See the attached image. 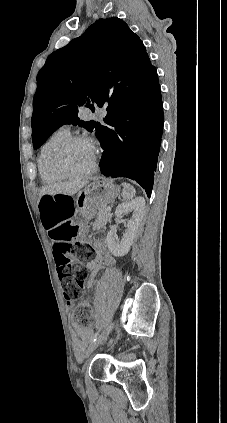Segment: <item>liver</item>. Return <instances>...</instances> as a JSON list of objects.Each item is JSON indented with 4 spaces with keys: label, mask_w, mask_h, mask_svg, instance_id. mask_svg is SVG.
I'll list each match as a JSON object with an SVG mask.
<instances>
[{
    "label": "liver",
    "mask_w": 227,
    "mask_h": 423,
    "mask_svg": "<svg viewBox=\"0 0 227 423\" xmlns=\"http://www.w3.org/2000/svg\"><path fill=\"white\" fill-rule=\"evenodd\" d=\"M85 184L86 182H57V184L51 182V184H45L39 194V200L42 196H45V194H49V196H56V194L74 196V194H77Z\"/></svg>",
    "instance_id": "6515ba94"
}]
</instances>
